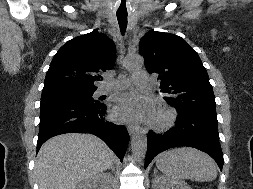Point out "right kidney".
<instances>
[{"label":"right kidney","mask_w":253,"mask_h":189,"mask_svg":"<svg viewBox=\"0 0 253 189\" xmlns=\"http://www.w3.org/2000/svg\"><path fill=\"white\" fill-rule=\"evenodd\" d=\"M112 175L110 173L97 174L87 180L82 181L75 189H112Z\"/></svg>","instance_id":"obj_1"}]
</instances>
